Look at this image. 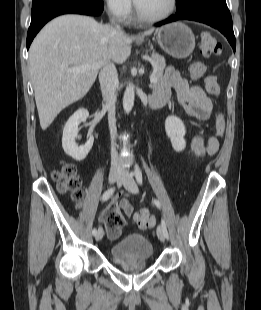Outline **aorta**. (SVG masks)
Here are the masks:
<instances>
[{"instance_id":"762f6f07","label":"aorta","mask_w":261,"mask_h":310,"mask_svg":"<svg viewBox=\"0 0 261 310\" xmlns=\"http://www.w3.org/2000/svg\"><path fill=\"white\" fill-rule=\"evenodd\" d=\"M135 99V92L133 84L129 83L126 87L123 97V108L125 113L129 114L133 108Z\"/></svg>"}]
</instances>
